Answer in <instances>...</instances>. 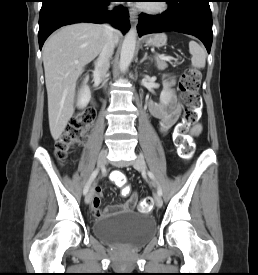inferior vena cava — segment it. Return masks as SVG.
Instances as JSON below:
<instances>
[{
    "mask_svg": "<svg viewBox=\"0 0 258 275\" xmlns=\"http://www.w3.org/2000/svg\"><path fill=\"white\" fill-rule=\"evenodd\" d=\"M114 5L111 4L108 8L113 9ZM106 40L103 45V48L100 52V55L95 62L94 75L100 77L103 81L107 76L108 69L110 67V58L113 55L116 40L114 37L115 30L108 24L103 25Z\"/></svg>",
    "mask_w": 258,
    "mask_h": 275,
    "instance_id": "obj_1",
    "label": "inferior vena cava"
}]
</instances>
